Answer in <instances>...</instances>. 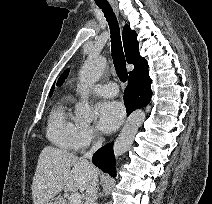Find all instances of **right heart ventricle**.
Masks as SVG:
<instances>
[{
	"label": "right heart ventricle",
	"instance_id": "1",
	"mask_svg": "<svg viewBox=\"0 0 212 204\" xmlns=\"http://www.w3.org/2000/svg\"><path fill=\"white\" fill-rule=\"evenodd\" d=\"M80 124L74 119L70 100L64 98L51 110L47 124V137L57 147L65 151L76 149V138Z\"/></svg>",
	"mask_w": 212,
	"mask_h": 204
}]
</instances>
